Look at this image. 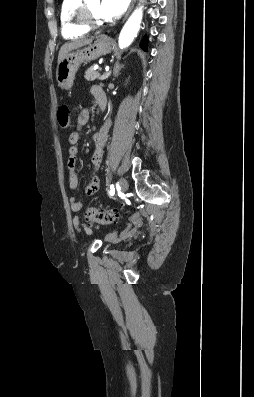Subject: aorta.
I'll return each mask as SVG.
<instances>
[{
  "instance_id": "obj_1",
  "label": "aorta",
  "mask_w": 254,
  "mask_h": 397,
  "mask_svg": "<svg viewBox=\"0 0 254 397\" xmlns=\"http://www.w3.org/2000/svg\"><path fill=\"white\" fill-rule=\"evenodd\" d=\"M142 8H137L125 23L119 36V47L121 49L128 47L136 37L142 21Z\"/></svg>"
}]
</instances>
